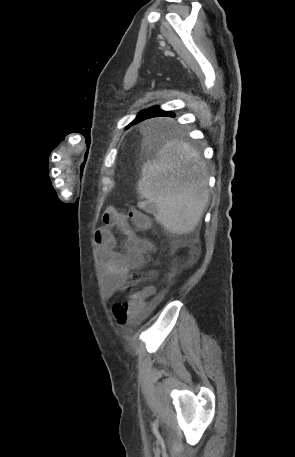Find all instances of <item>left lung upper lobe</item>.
I'll list each match as a JSON object with an SVG mask.
<instances>
[{"label":"left lung upper lobe","instance_id":"obj_1","mask_svg":"<svg viewBox=\"0 0 295 457\" xmlns=\"http://www.w3.org/2000/svg\"><path fill=\"white\" fill-rule=\"evenodd\" d=\"M154 108L155 107H152V108L147 109V110L140 111L138 113L137 117L127 127H130L133 124L139 123V122H141V121H143V120H145L147 118H150L152 116Z\"/></svg>","mask_w":295,"mask_h":457}]
</instances>
